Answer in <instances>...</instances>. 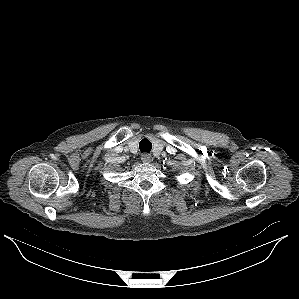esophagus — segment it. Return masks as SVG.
Listing matches in <instances>:
<instances>
[{"mask_svg":"<svg viewBox=\"0 0 299 299\" xmlns=\"http://www.w3.org/2000/svg\"><path fill=\"white\" fill-rule=\"evenodd\" d=\"M141 160L144 162V163H149L152 161V156L148 153H145V154H142L141 155Z\"/></svg>","mask_w":299,"mask_h":299,"instance_id":"obj_1","label":"esophagus"}]
</instances>
